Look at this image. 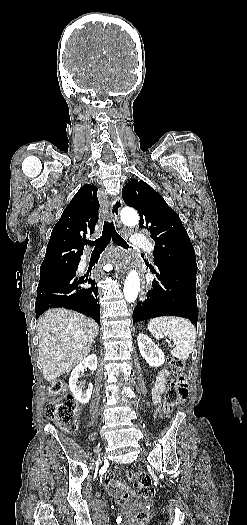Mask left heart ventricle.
<instances>
[{"label": "left heart ventricle", "mask_w": 247, "mask_h": 525, "mask_svg": "<svg viewBox=\"0 0 247 525\" xmlns=\"http://www.w3.org/2000/svg\"><path fill=\"white\" fill-rule=\"evenodd\" d=\"M139 264H130L129 265V269H135L136 267H138ZM120 324H124V323H120Z\"/></svg>", "instance_id": "1"}]
</instances>
